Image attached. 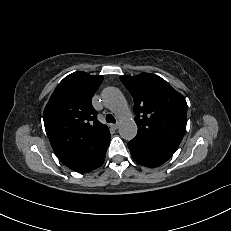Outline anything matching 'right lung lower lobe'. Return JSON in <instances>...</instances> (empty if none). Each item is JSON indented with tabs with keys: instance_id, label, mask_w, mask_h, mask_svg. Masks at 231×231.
<instances>
[{
	"instance_id": "1",
	"label": "right lung lower lobe",
	"mask_w": 231,
	"mask_h": 231,
	"mask_svg": "<svg viewBox=\"0 0 231 231\" xmlns=\"http://www.w3.org/2000/svg\"><path fill=\"white\" fill-rule=\"evenodd\" d=\"M109 142H110V135L107 137V139L102 144L101 148L99 149V151L95 155L93 161L88 163V164H84V165L78 167L74 171L79 172V173H86V172H90V171L100 167L104 162L105 154H106Z\"/></svg>"
}]
</instances>
